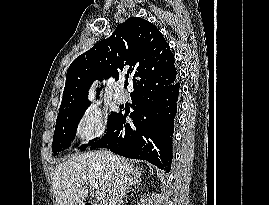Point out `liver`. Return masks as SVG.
<instances>
[{
  "mask_svg": "<svg viewBox=\"0 0 269 205\" xmlns=\"http://www.w3.org/2000/svg\"><path fill=\"white\" fill-rule=\"evenodd\" d=\"M112 156L119 160L126 175L137 170L132 161L117 155ZM114 170L112 161L103 151L74 155L57 164L53 176L56 205H83L89 193V180H95L105 196H108L113 184Z\"/></svg>",
  "mask_w": 269,
  "mask_h": 205,
  "instance_id": "liver-1",
  "label": "liver"
}]
</instances>
